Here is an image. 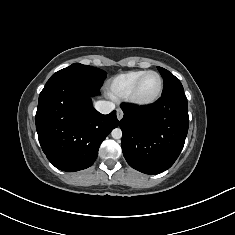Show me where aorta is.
Returning <instances> with one entry per match:
<instances>
[{"label": "aorta", "instance_id": "762f6f07", "mask_svg": "<svg viewBox=\"0 0 235 235\" xmlns=\"http://www.w3.org/2000/svg\"><path fill=\"white\" fill-rule=\"evenodd\" d=\"M111 135L114 139H120L122 137V131L120 128H115L112 130Z\"/></svg>", "mask_w": 235, "mask_h": 235}]
</instances>
